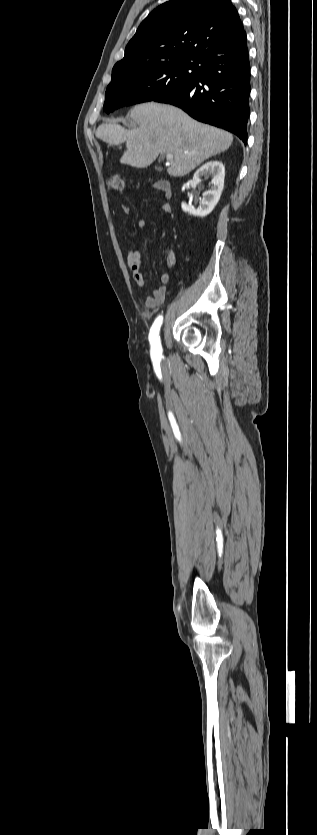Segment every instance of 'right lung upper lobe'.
<instances>
[{"label":"right lung upper lobe","instance_id":"cb5924a9","mask_svg":"<svg viewBox=\"0 0 317 835\" xmlns=\"http://www.w3.org/2000/svg\"><path fill=\"white\" fill-rule=\"evenodd\" d=\"M241 37L246 33L230 0H171L142 21L112 73L196 61Z\"/></svg>","mask_w":317,"mask_h":835}]
</instances>
